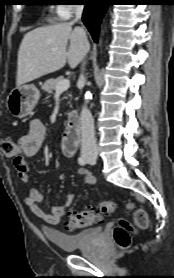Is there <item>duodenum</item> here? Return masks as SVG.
Returning a JSON list of instances; mask_svg holds the SVG:
<instances>
[{
	"instance_id": "duodenum-1",
	"label": "duodenum",
	"mask_w": 174,
	"mask_h": 278,
	"mask_svg": "<svg viewBox=\"0 0 174 278\" xmlns=\"http://www.w3.org/2000/svg\"><path fill=\"white\" fill-rule=\"evenodd\" d=\"M80 123L78 116L71 112L68 115L66 128L61 138V148L65 155H71L74 152L75 145L79 141Z\"/></svg>"
}]
</instances>
